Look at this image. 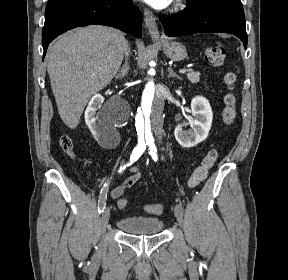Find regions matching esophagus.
I'll use <instances>...</instances> for the list:
<instances>
[{"label": "esophagus", "mask_w": 288, "mask_h": 280, "mask_svg": "<svg viewBox=\"0 0 288 280\" xmlns=\"http://www.w3.org/2000/svg\"><path fill=\"white\" fill-rule=\"evenodd\" d=\"M144 22L152 38L157 39L160 37V33L157 27V21L155 15L148 9L144 10Z\"/></svg>", "instance_id": "obj_1"}]
</instances>
